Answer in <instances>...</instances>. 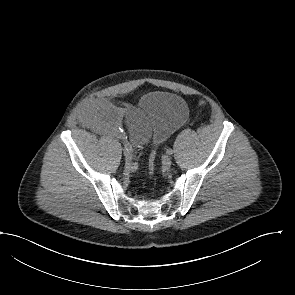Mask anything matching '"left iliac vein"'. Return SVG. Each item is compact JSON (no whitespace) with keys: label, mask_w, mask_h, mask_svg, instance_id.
I'll list each match as a JSON object with an SVG mask.
<instances>
[{"label":"left iliac vein","mask_w":295,"mask_h":295,"mask_svg":"<svg viewBox=\"0 0 295 295\" xmlns=\"http://www.w3.org/2000/svg\"><path fill=\"white\" fill-rule=\"evenodd\" d=\"M172 164V160L169 157H166L163 161V166L165 169H169Z\"/></svg>","instance_id":"obj_1"}]
</instances>
